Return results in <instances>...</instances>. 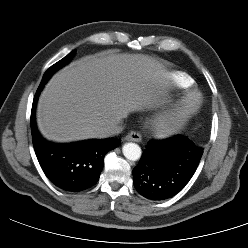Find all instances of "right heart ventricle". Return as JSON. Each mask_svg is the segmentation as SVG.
<instances>
[{
    "label": "right heart ventricle",
    "instance_id": "1",
    "mask_svg": "<svg viewBox=\"0 0 248 248\" xmlns=\"http://www.w3.org/2000/svg\"><path fill=\"white\" fill-rule=\"evenodd\" d=\"M172 83L178 89L186 90L192 87L193 80L185 73L176 72L172 75Z\"/></svg>",
    "mask_w": 248,
    "mask_h": 248
}]
</instances>
